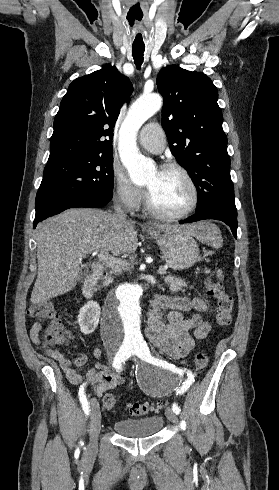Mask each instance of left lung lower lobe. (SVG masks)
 <instances>
[{
    "label": "left lung lower lobe",
    "instance_id": "1",
    "mask_svg": "<svg viewBox=\"0 0 279 490\" xmlns=\"http://www.w3.org/2000/svg\"><path fill=\"white\" fill-rule=\"evenodd\" d=\"M205 219H215V220L223 221L231 228L234 237L237 238L236 236V231L238 226L237 213H231L227 210L218 207H210L205 210L196 212V214L192 215L191 217L185 220L180 221V223L181 224L191 223V222L205 220Z\"/></svg>",
    "mask_w": 279,
    "mask_h": 490
}]
</instances>
